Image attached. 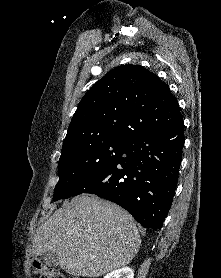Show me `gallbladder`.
I'll use <instances>...</instances> for the list:
<instances>
[{
    "label": "gallbladder",
    "instance_id": "obj_1",
    "mask_svg": "<svg viewBox=\"0 0 221 278\" xmlns=\"http://www.w3.org/2000/svg\"><path fill=\"white\" fill-rule=\"evenodd\" d=\"M41 260L45 265L56 267L58 266L57 255L53 252H46L41 256Z\"/></svg>",
    "mask_w": 221,
    "mask_h": 278
}]
</instances>
